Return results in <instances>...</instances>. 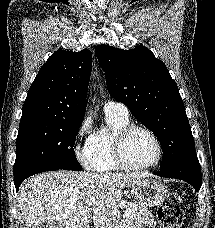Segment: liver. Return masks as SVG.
Returning a JSON list of instances; mask_svg holds the SVG:
<instances>
[{
	"label": "liver",
	"mask_w": 215,
	"mask_h": 228,
	"mask_svg": "<svg viewBox=\"0 0 215 228\" xmlns=\"http://www.w3.org/2000/svg\"><path fill=\"white\" fill-rule=\"evenodd\" d=\"M147 178L132 174L44 172L19 188L18 202L27 228H118L122 188ZM95 198L93 208L87 206Z\"/></svg>",
	"instance_id": "obj_1"
}]
</instances>
